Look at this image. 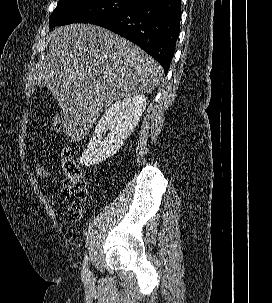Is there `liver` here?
<instances>
[{"instance_id":"obj_1","label":"liver","mask_w":272,"mask_h":303,"mask_svg":"<svg viewBox=\"0 0 272 303\" xmlns=\"http://www.w3.org/2000/svg\"><path fill=\"white\" fill-rule=\"evenodd\" d=\"M35 82L50 89L63 110V128L81 141L113 102L150 93L164 70L127 39L99 26L70 24L53 30Z\"/></svg>"}]
</instances>
